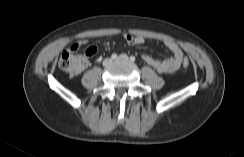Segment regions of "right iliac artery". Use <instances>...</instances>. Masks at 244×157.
Segmentation results:
<instances>
[{
    "label": "right iliac artery",
    "mask_w": 244,
    "mask_h": 157,
    "mask_svg": "<svg viewBox=\"0 0 244 157\" xmlns=\"http://www.w3.org/2000/svg\"><path fill=\"white\" fill-rule=\"evenodd\" d=\"M111 58H112V59H116V58H117V54H116V53H113V54L111 55Z\"/></svg>",
    "instance_id": "1"
}]
</instances>
